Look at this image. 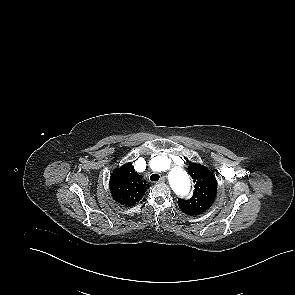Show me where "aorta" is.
I'll list each match as a JSON object with an SVG mask.
<instances>
[{"instance_id":"762f6f07","label":"aorta","mask_w":295,"mask_h":295,"mask_svg":"<svg viewBox=\"0 0 295 295\" xmlns=\"http://www.w3.org/2000/svg\"><path fill=\"white\" fill-rule=\"evenodd\" d=\"M171 187L178 195H185L190 189V180L187 174L179 167H174L168 174Z\"/></svg>"}]
</instances>
